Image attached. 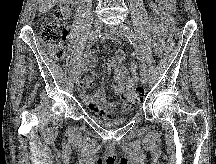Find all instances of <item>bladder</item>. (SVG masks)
Instances as JSON below:
<instances>
[{
    "mask_svg": "<svg viewBox=\"0 0 216 164\" xmlns=\"http://www.w3.org/2000/svg\"><path fill=\"white\" fill-rule=\"evenodd\" d=\"M129 118H130V116L126 115V116H122V117L115 118V119H110V120H99V119H97L96 121L99 124L103 125V126L111 127V126H117V125L123 124L127 120H129Z\"/></svg>",
    "mask_w": 216,
    "mask_h": 164,
    "instance_id": "1",
    "label": "bladder"
}]
</instances>
